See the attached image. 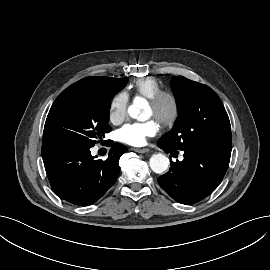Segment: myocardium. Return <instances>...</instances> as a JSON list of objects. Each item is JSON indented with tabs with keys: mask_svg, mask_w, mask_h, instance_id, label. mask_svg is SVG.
<instances>
[{
	"mask_svg": "<svg viewBox=\"0 0 270 270\" xmlns=\"http://www.w3.org/2000/svg\"><path fill=\"white\" fill-rule=\"evenodd\" d=\"M149 104L154 111V117L164 127H171L175 124L180 113L179 99L175 93L168 90H161L149 98ZM168 106L166 110L165 107Z\"/></svg>",
	"mask_w": 270,
	"mask_h": 270,
	"instance_id": "obj_1",
	"label": "myocardium"
}]
</instances>
